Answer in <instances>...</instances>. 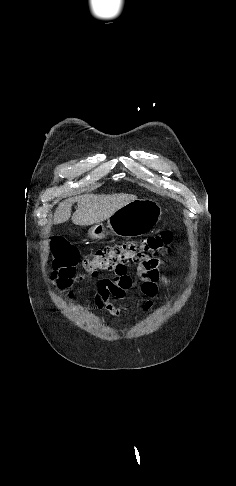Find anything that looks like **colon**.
Here are the masks:
<instances>
[{"mask_svg":"<svg viewBox=\"0 0 236 486\" xmlns=\"http://www.w3.org/2000/svg\"><path fill=\"white\" fill-rule=\"evenodd\" d=\"M172 241V234L168 231L160 235L150 236L137 242H126L113 246H106L85 258L82 262L83 273L80 279H91L101 270H120L123 266L132 264L143 257L154 259ZM52 274L54 285L59 290H67L75 275V268L79 262L76 247L63 239L56 238L51 244Z\"/></svg>","mask_w":236,"mask_h":486,"instance_id":"obj_1","label":"colon"}]
</instances>
